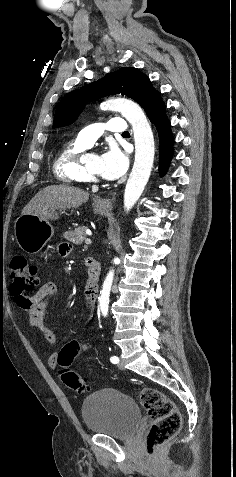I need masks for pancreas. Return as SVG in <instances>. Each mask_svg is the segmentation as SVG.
Returning a JSON list of instances; mask_svg holds the SVG:
<instances>
[{
  "label": "pancreas",
  "instance_id": "obj_1",
  "mask_svg": "<svg viewBox=\"0 0 236 477\" xmlns=\"http://www.w3.org/2000/svg\"><path fill=\"white\" fill-rule=\"evenodd\" d=\"M86 229L87 227L80 226L78 228H75V230L65 232L63 236L73 244L80 245L85 240Z\"/></svg>",
  "mask_w": 236,
  "mask_h": 477
}]
</instances>
